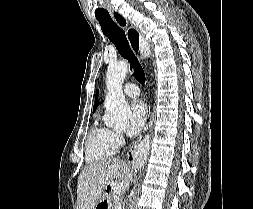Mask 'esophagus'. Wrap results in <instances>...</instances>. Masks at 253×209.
Instances as JSON below:
<instances>
[{
  "label": "esophagus",
  "mask_w": 253,
  "mask_h": 209,
  "mask_svg": "<svg viewBox=\"0 0 253 209\" xmlns=\"http://www.w3.org/2000/svg\"><path fill=\"white\" fill-rule=\"evenodd\" d=\"M112 17L119 26L126 28L127 37L129 39L132 50L137 54L141 51L140 53H141V58H142L143 46L145 44L142 34L139 32L137 28L133 26H130L127 28L128 21L119 12L113 11ZM139 143H140V139L136 140L127 154L128 161L131 162L132 164H134L133 155Z\"/></svg>",
  "instance_id": "34e87169"
}]
</instances>
